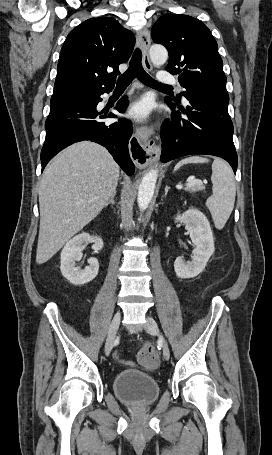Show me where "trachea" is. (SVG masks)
I'll use <instances>...</instances> for the list:
<instances>
[{
  "mask_svg": "<svg viewBox=\"0 0 272 455\" xmlns=\"http://www.w3.org/2000/svg\"><path fill=\"white\" fill-rule=\"evenodd\" d=\"M142 53L140 49H136L131 58L128 69L125 73L119 76L116 87H127L134 78H137L143 84L150 87L170 88V85H165L154 80L149 74L146 73L142 67Z\"/></svg>",
  "mask_w": 272,
  "mask_h": 455,
  "instance_id": "obj_1",
  "label": "trachea"
}]
</instances>
